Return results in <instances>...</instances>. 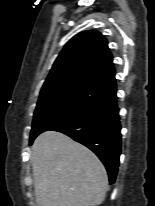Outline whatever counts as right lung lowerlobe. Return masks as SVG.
<instances>
[{"label":"right lung lower lobe","instance_id":"right-lung-lower-lobe-1","mask_svg":"<svg viewBox=\"0 0 155 206\" xmlns=\"http://www.w3.org/2000/svg\"><path fill=\"white\" fill-rule=\"evenodd\" d=\"M51 130L64 133L91 149L105 165L110 184L115 182L121 154L116 89Z\"/></svg>","mask_w":155,"mask_h":206}]
</instances>
